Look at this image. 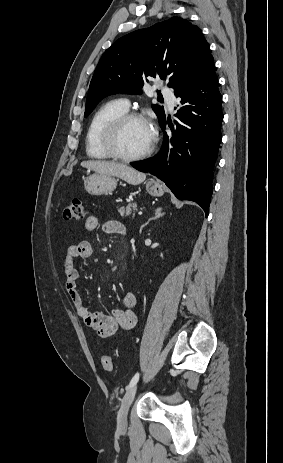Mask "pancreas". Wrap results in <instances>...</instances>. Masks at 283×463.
<instances>
[{
  "label": "pancreas",
  "instance_id": "pancreas-1",
  "mask_svg": "<svg viewBox=\"0 0 283 463\" xmlns=\"http://www.w3.org/2000/svg\"><path fill=\"white\" fill-rule=\"evenodd\" d=\"M137 209V204L136 203H130L126 207H120L118 209V212L120 213L121 216L125 217H134L135 213L134 211Z\"/></svg>",
  "mask_w": 283,
  "mask_h": 463
}]
</instances>
